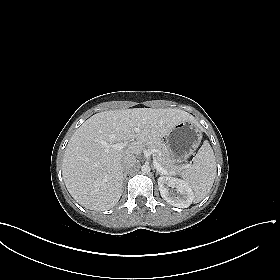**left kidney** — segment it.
Returning <instances> with one entry per match:
<instances>
[{
    "label": "left kidney",
    "instance_id": "left-kidney-1",
    "mask_svg": "<svg viewBox=\"0 0 280 280\" xmlns=\"http://www.w3.org/2000/svg\"><path fill=\"white\" fill-rule=\"evenodd\" d=\"M161 197L178 208H187L193 201L194 194L189 185L177 178L161 176L158 178Z\"/></svg>",
    "mask_w": 280,
    "mask_h": 280
}]
</instances>
